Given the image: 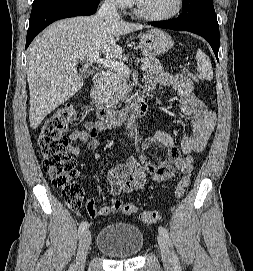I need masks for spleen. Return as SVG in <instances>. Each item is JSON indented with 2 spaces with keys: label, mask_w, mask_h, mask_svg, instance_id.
I'll return each instance as SVG.
<instances>
[{
  "label": "spleen",
  "mask_w": 253,
  "mask_h": 271,
  "mask_svg": "<svg viewBox=\"0 0 253 271\" xmlns=\"http://www.w3.org/2000/svg\"><path fill=\"white\" fill-rule=\"evenodd\" d=\"M197 70L200 76L205 80L213 79V69L209 57L201 50L198 49L196 53Z\"/></svg>",
  "instance_id": "3e777b00"
}]
</instances>
